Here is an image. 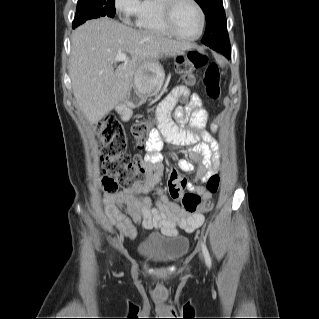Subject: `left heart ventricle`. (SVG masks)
Instances as JSON below:
<instances>
[{
  "mask_svg": "<svg viewBox=\"0 0 319 319\" xmlns=\"http://www.w3.org/2000/svg\"><path fill=\"white\" fill-rule=\"evenodd\" d=\"M173 24L176 31L185 37L195 36L199 30V15L190 2H181L174 12Z\"/></svg>",
  "mask_w": 319,
  "mask_h": 319,
  "instance_id": "obj_1",
  "label": "left heart ventricle"
}]
</instances>
